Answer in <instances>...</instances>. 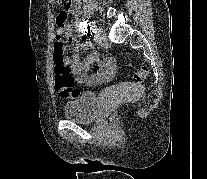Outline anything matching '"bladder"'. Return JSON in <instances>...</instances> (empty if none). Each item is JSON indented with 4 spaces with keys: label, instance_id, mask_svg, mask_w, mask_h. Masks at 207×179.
Instances as JSON below:
<instances>
[{
    "label": "bladder",
    "instance_id": "bladder-1",
    "mask_svg": "<svg viewBox=\"0 0 207 179\" xmlns=\"http://www.w3.org/2000/svg\"><path fill=\"white\" fill-rule=\"evenodd\" d=\"M99 112V98L92 92H80L64 107V116L71 121L87 123L96 119Z\"/></svg>",
    "mask_w": 207,
    "mask_h": 179
}]
</instances>
